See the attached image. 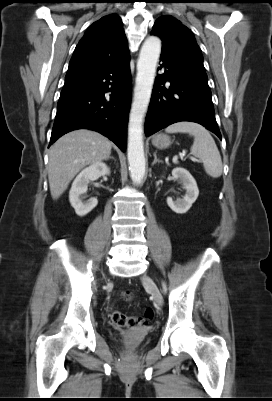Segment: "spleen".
I'll list each match as a JSON object with an SVG mask.
<instances>
[{
    "mask_svg": "<svg viewBox=\"0 0 272 401\" xmlns=\"http://www.w3.org/2000/svg\"><path fill=\"white\" fill-rule=\"evenodd\" d=\"M167 133H188L194 137L191 154L202 162L205 172L212 178H218L222 174L223 166L219 150L210 133L201 125L193 122L182 121L168 126Z\"/></svg>",
    "mask_w": 272,
    "mask_h": 401,
    "instance_id": "spleen-1",
    "label": "spleen"
}]
</instances>
